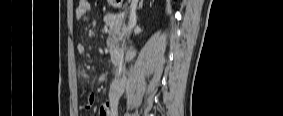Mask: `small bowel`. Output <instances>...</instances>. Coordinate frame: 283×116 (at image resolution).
<instances>
[{
	"label": "small bowel",
	"mask_w": 283,
	"mask_h": 116,
	"mask_svg": "<svg viewBox=\"0 0 283 116\" xmlns=\"http://www.w3.org/2000/svg\"><path fill=\"white\" fill-rule=\"evenodd\" d=\"M89 8H90V1L88 0H79L78 1V6L77 8L75 9V17L77 19H82L84 18L88 11H89ZM76 50L79 54L83 55L85 54V47L83 44H78L77 47H76ZM96 95L94 93H90L88 96H87V99H86V103L85 105L83 106V109H90L93 107V105L95 104L96 102ZM116 104L113 100L111 99H108L106 102H104L101 107H100V110H99V115L100 116H115L116 115Z\"/></svg>",
	"instance_id": "1"
}]
</instances>
